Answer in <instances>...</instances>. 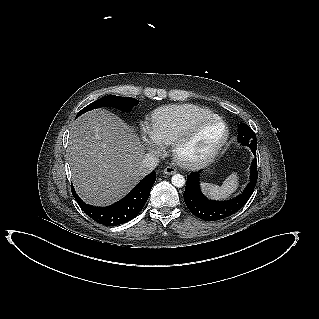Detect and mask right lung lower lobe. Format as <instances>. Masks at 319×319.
I'll return each instance as SVG.
<instances>
[{"label": "right lung lower lobe", "mask_w": 319, "mask_h": 319, "mask_svg": "<svg viewBox=\"0 0 319 319\" xmlns=\"http://www.w3.org/2000/svg\"><path fill=\"white\" fill-rule=\"evenodd\" d=\"M155 179L156 173H150L127 196L107 207H94L84 203L73 187L72 194L81 209L90 218L106 226H116L130 221L143 209Z\"/></svg>", "instance_id": "right-lung-lower-lobe-1"}]
</instances>
